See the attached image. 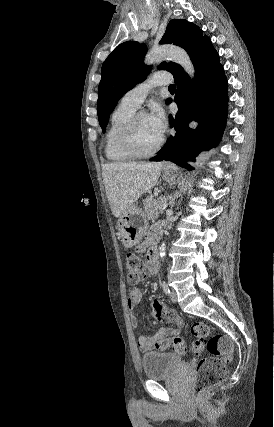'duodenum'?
Masks as SVG:
<instances>
[{"label":"duodenum","instance_id":"obj_1","mask_svg":"<svg viewBox=\"0 0 274 427\" xmlns=\"http://www.w3.org/2000/svg\"><path fill=\"white\" fill-rule=\"evenodd\" d=\"M158 247L155 244V242L152 243V246L150 247L149 251H148V260L150 263L152 264H156L157 263V259H158Z\"/></svg>","mask_w":274,"mask_h":427}]
</instances>
